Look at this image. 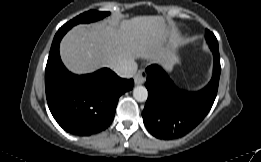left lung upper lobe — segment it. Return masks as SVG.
Wrapping results in <instances>:
<instances>
[{
  "label": "left lung upper lobe",
  "mask_w": 261,
  "mask_h": 162,
  "mask_svg": "<svg viewBox=\"0 0 261 162\" xmlns=\"http://www.w3.org/2000/svg\"><path fill=\"white\" fill-rule=\"evenodd\" d=\"M205 37L209 44L218 45L215 35L209 30H206Z\"/></svg>",
  "instance_id": "1"
}]
</instances>
